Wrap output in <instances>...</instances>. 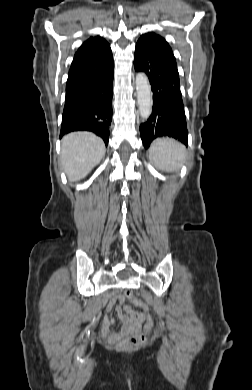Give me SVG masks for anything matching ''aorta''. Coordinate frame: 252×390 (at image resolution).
Returning <instances> with one entry per match:
<instances>
[{
  "instance_id": "762f6f07",
  "label": "aorta",
  "mask_w": 252,
  "mask_h": 390,
  "mask_svg": "<svg viewBox=\"0 0 252 390\" xmlns=\"http://www.w3.org/2000/svg\"><path fill=\"white\" fill-rule=\"evenodd\" d=\"M136 91L140 116L143 120H147L152 112V92L145 73L136 75Z\"/></svg>"
}]
</instances>
